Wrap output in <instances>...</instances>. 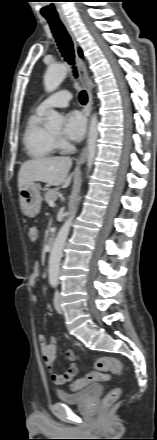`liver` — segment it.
Instances as JSON below:
<instances>
[{
  "label": "liver",
  "instance_id": "6515ba94",
  "mask_svg": "<svg viewBox=\"0 0 157 440\" xmlns=\"http://www.w3.org/2000/svg\"><path fill=\"white\" fill-rule=\"evenodd\" d=\"M71 166L72 160L69 157H48L27 161L19 170V191L36 181L67 188L74 175V173L68 175Z\"/></svg>",
  "mask_w": 157,
  "mask_h": 440
}]
</instances>
